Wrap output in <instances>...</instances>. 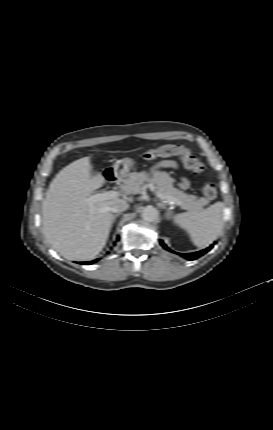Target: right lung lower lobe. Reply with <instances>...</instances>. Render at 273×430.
Wrapping results in <instances>:
<instances>
[{"label":"right lung lower lobe","instance_id":"98d812e1","mask_svg":"<svg viewBox=\"0 0 273 430\" xmlns=\"http://www.w3.org/2000/svg\"><path fill=\"white\" fill-rule=\"evenodd\" d=\"M119 239V238H118ZM99 259H96V260H93V261H91V262H79L80 264H93V263H96L97 261H98Z\"/></svg>","mask_w":273,"mask_h":430}]
</instances>
